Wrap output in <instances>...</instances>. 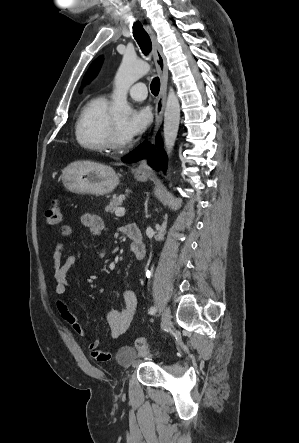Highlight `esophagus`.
<instances>
[{
  "label": "esophagus",
  "instance_id": "1",
  "mask_svg": "<svg viewBox=\"0 0 299 443\" xmlns=\"http://www.w3.org/2000/svg\"><path fill=\"white\" fill-rule=\"evenodd\" d=\"M147 30L151 36L154 61L161 81L160 93L155 108V127H154V134H155L159 130L163 120V113L166 103L168 69H167L166 58L162 52L160 44L156 39L155 33L153 32L150 26H147ZM136 171L139 173H146L149 171V166L147 164L146 159L140 161V163L136 167Z\"/></svg>",
  "mask_w": 299,
  "mask_h": 443
}]
</instances>
